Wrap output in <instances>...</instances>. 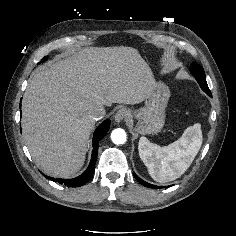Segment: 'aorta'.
Masks as SVG:
<instances>
[{"label":"aorta","instance_id":"obj_1","mask_svg":"<svg viewBox=\"0 0 236 236\" xmlns=\"http://www.w3.org/2000/svg\"><path fill=\"white\" fill-rule=\"evenodd\" d=\"M111 140L118 145L124 144L126 142V132L121 128L114 129L111 133Z\"/></svg>","mask_w":236,"mask_h":236}]
</instances>
